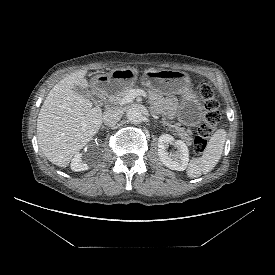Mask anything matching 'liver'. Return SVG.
Returning a JSON list of instances; mask_svg holds the SVG:
<instances>
[{
  "instance_id": "obj_1",
  "label": "liver",
  "mask_w": 275,
  "mask_h": 275,
  "mask_svg": "<svg viewBox=\"0 0 275 275\" xmlns=\"http://www.w3.org/2000/svg\"><path fill=\"white\" fill-rule=\"evenodd\" d=\"M87 70H79L60 80L48 93L37 119V138L45 157L59 167H67L97 134L102 109L73 91L75 85L90 87Z\"/></svg>"
}]
</instances>
